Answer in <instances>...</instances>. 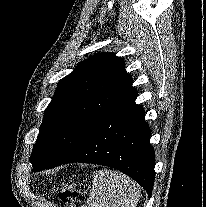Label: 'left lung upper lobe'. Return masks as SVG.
Listing matches in <instances>:
<instances>
[{"instance_id":"left-lung-upper-lobe-1","label":"left lung upper lobe","mask_w":206,"mask_h":207,"mask_svg":"<svg viewBox=\"0 0 206 207\" xmlns=\"http://www.w3.org/2000/svg\"><path fill=\"white\" fill-rule=\"evenodd\" d=\"M132 86L124 61L98 53L61 79L44 113L31 161L40 170L72 155L100 117Z\"/></svg>"}]
</instances>
